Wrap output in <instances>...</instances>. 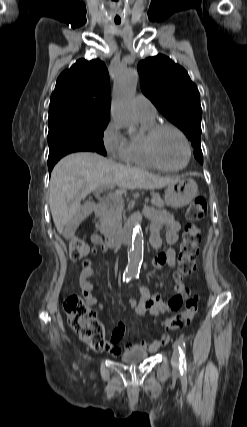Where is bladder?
Masks as SVG:
<instances>
[{
    "instance_id": "31cf9c89",
    "label": "bladder",
    "mask_w": 247,
    "mask_h": 427,
    "mask_svg": "<svg viewBox=\"0 0 247 427\" xmlns=\"http://www.w3.org/2000/svg\"><path fill=\"white\" fill-rule=\"evenodd\" d=\"M147 357L148 352L146 350L141 348H132L124 351L120 356V360L126 364H135L142 362Z\"/></svg>"
}]
</instances>
